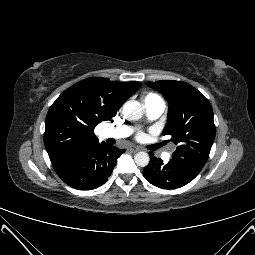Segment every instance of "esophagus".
<instances>
[{"mask_svg":"<svg viewBox=\"0 0 255 255\" xmlns=\"http://www.w3.org/2000/svg\"><path fill=\"white\" fill-rule=\"evenodd\" d=\"M127 150L135 153L138 152L140 149L138 147H129Z\"/></svg>","mask_w":255,"mask_h":255,"instance_id":"1","label":"esophagus"}]
</instances>
